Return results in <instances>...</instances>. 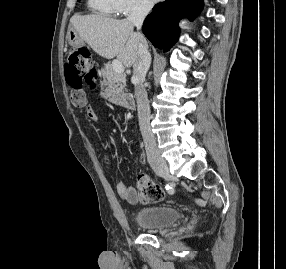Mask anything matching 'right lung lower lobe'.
Here are the masks:
<instances>
[{
    "instance_id": "right-lung-lower-lobe-1",
    "label": "right lung lower lobe",
    "mask_w": 286,
    "mask_h": 269,
    "mask_svg": "<svg viewBox=\"0 0 286 269\" xmlns=\"http://www.w3.org/2000/svg\"><path fill=\"white\" fill-rule=\"evenodd\" d=\"M202 6L203 0H166L159 3L144 21L143 32L155 47L168 51L178 39L179 19L184 16L193 19Z\"/></svg>"
}]
</instances>
